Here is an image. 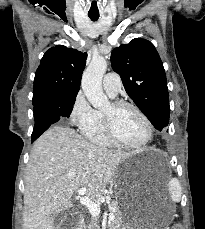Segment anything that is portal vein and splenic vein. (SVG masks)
Here are the masks:
<instances>
[{
  "mask_svg": "<svg viewBox=\"0 0 205 229\" xmlns=\"http://www.w3.org/2000/svg\"><path fill=\"white\" fill-rule=\"evenodd\" d=\"M87 192V189L85 187H81L78 189V198L80 199V202L82 205H84L86 208H88L89 212L93 217H97L100 214V206L93 202L90 198L85 196ZM115 216L113 213L108 214L109 221L114 220Z\"/></svg>",
  "mask_w": 205,
  "mask_h": 229,
  "instance_id": "18ae733b",
  "label": "portal vein and splenic vein"
}]
</instances>
